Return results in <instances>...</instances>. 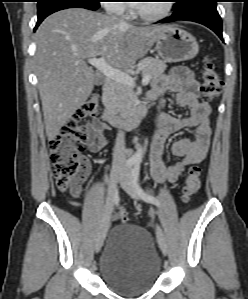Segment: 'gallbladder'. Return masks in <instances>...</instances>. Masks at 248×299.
Returning a JSON list of instances; mask_svg holds the SVG:
<instances>
[{
    "label": "gallbladder",
    "mask_w": 248,
    "mask_h": 299,
    "mask_svg": "<svg viewBox=\"0 0 248 299\" xmlns=\"http://www.w3.org/2000/svg\"><path fill=\"white\" fill-rule=\"evenodd\" d=\"M103 79L101 78V77H96L95 78V84L96 85H101V84H103Z\"/></svg>",
    "instance_id": "1"
}]
</instances>
